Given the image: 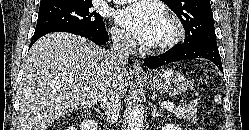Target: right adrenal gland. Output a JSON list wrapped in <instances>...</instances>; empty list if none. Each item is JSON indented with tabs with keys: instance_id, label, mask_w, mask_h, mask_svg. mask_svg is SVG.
<instances>
[{
	"instance_id": "2a0ac1e0",
	"label": "right adrenal gland",
	"mask_w": 249,
	"mask_h": 130,
	"mask_svg": "<svg viewBox=\"0 0 249 130\" xmlns=\"http://www.w3.org/2000/svg\"><path fill=\"white\" fill-rule=\"evenodd\" d=\"M96 112L98 113V114H100L101 115V117H103V113L101 112V110L98 108V109H96Z\"/></svg>"
}]
</instances>
